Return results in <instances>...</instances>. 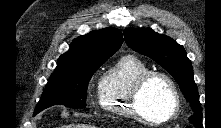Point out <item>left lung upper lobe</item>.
I'll return each instance as SVG.
<instances>
[{"label": "left lung upper lobe", "instance_id": "5c2ea615", "mask_svg": "<svg viewBox=\"0 0 221 128\" xmlns=\"http://www.w3.org/2000/svg\"><path fill=\"white\" fill-rule=\"evenodd\" d=\"M124 37L130 48L152 58L174 77L192 108L190 122L198 128L203 127L201 103L193 78V68L183 46L150 28L126 29Z\"/></svg>", "mask_w": 221, "mask_h": 128}]
</instances>
